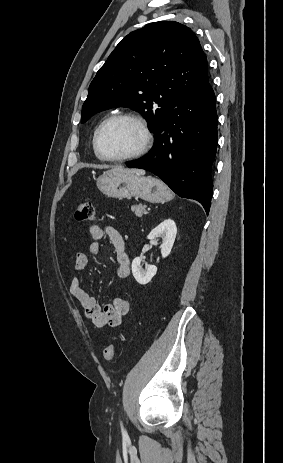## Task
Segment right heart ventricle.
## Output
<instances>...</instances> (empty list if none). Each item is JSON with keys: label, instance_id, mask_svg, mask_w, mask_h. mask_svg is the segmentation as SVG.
Instances as JSON below:
<instances>
[{"label": "right heart ventricle", "instance_id": "1", "mask_svg": "<svg viewBox=\"0 0 283 463\" xmlns=\"http://www.w3.org/2000/svg\"><path fill=\"white\" fill-rule=\"evenodd\" d=\"M95 131H96V130H95ZM94 133H95V132H94ZM93 149H94V147H93ZM94 153H95V151H94ZM95 155H96V153H95ZM96 156H97V155H96Z\"/></svg>", "mask_w": 283, "mask_h": 463}]
</instances>
